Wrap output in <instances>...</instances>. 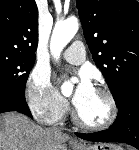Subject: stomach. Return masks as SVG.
<instances>
[{"instance_id": "stomach-1", "label": "stomach", "mask_w": 139, "mask_h": 150, "mask_svg": "<svg viewBox=\"0 0 139 150\" xmlns=\"http://www.w3.org/2000/svg\"><path fill=\"white\" fill-rule=\"evenodd\" d=\"M73 150H121L118 146L113 144H95L90 146H72Z\"/></svg>"}]
</instances>
